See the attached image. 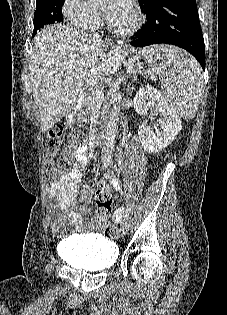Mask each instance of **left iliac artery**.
<instances>
[{
	"instance_id": "1",
	"label": "left iliac artery",
	"mask_w": 227,
	"mask_h": 315,
	"mask_svg": "<svg viewBox=\"0 0 227 315\" xmlns=\"http://www.w3.org/2000/svg\"><path fill=\"white\" fill-rule=\"evenodd\" d=\"M129 215H130V208H127L125 210L124 216H123V221L126 222L129 219Z\"/></svg>"
}]
</instances>
